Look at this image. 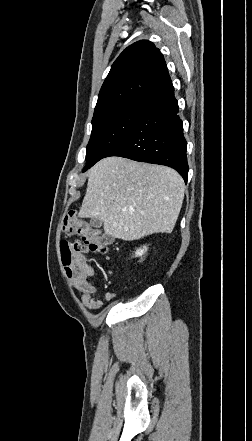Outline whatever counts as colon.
Instances as JSON below:
<instances>
[{"label":"colon","mask_w":252,"mask_h":441,"mask_svg":"<svg viewBox=\"0 0 252 441\" xmlns=\"http://www.w3.org/2000/svg\"><path fill=\"white\" fill-rule=\"evenodd\" d=\"M64 229L81 237V241L62 240L60 252L67 276L72 282L82 281L86 276V253H107L111 239L99 228L77 218L74 213H69L65 218Z\"/></svg>","instance_id":"colon-1"}]
</instances>
